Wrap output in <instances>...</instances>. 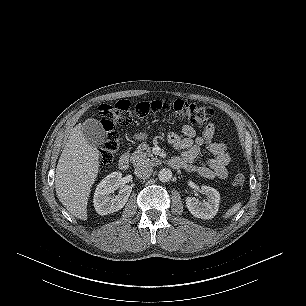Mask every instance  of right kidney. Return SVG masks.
I'll list each match as a JSON object with an SVG mask.
<instances>
[{
	"label": "right kidney",
	"mask_w": 306,
	"mask_h": 306,
	"mask_svg": "<svg viewBox=\"0 0 306 306\" xmlns=\"http://www.w3.org/2000/svg\"><path fill=\"white\" fill-rule=\"evenodd\" d=\"M121 179V172H113L98 184L94 193L93 204L99 215L103 216L117 212L125 206L132 191L131 186L122 187L118 195L110 197V194L114 193L119 186Z\"/></svg>",
	"instance_id": "obj_1"
}]
</instances>
